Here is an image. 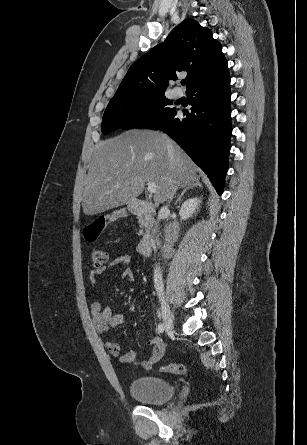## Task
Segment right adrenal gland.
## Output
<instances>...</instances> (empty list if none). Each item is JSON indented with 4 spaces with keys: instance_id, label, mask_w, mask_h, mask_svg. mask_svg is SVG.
<instances>
[{
    "instance_id": "right-adrenal-gland-1",
    "label": "right adrenal gland",
    "mask_w": 307,
    "mask_h": 445,
    "mask_svg": "<svg viewBox=\"0 0 307 445\" xmlns=\"http://www.w3.org/2000/svg\"><path fill=\"white\" fill-rule=\"evenodd\" d=\"M200 176H196L194 182H192V184H188V186H186V188H184L183 192H181L179 198H177L175 204H177V202H179V200H181L183 194H185V192H187V190H190V188H194V186H202V184H200V180H199Z\"/></svg>"
}]
</instances>
